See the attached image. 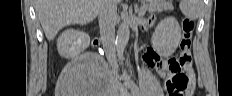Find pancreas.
Masks as SVG:
<instances>
[{"label": "pancreas", "mask_w": 232, "mask_h": 96, "mask_svg": "<svg viewBox=\"0 0 232 96\" xmlns=\"http://www.w3.org/2000/svg\"><path fill=\"white\" fill-rule=\"evenodd\" d=\"M172 9L171 4H163L158 2H151L147 7L146 10L148 12H162Z\"/></svg>", "instance_id": "obj_1"}]
</instances>
